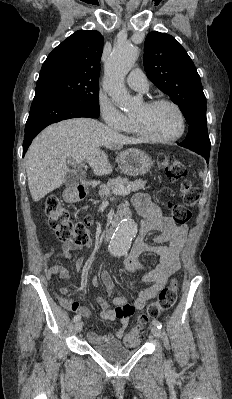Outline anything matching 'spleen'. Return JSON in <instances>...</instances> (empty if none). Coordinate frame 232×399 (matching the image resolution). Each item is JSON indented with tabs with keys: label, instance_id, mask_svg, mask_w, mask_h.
I'll return each instance as SVG.
<instances>
[{
	"label": "spleen",
	"instance_id": "spleen-1",
	"mask_svg": "<svg viewBox=\"0 0 232 399\" xmlns=\"http://www.w3.org/2000/svg\"><path fill=\"white\" fill-rule=\"evenodd\" d=\"M199 176H201V178H202V176H203L202 172H199Z\"/></svg>",
	"mask_w": 232,
	"mask_h": 399
}]
</instances>
